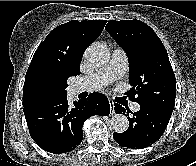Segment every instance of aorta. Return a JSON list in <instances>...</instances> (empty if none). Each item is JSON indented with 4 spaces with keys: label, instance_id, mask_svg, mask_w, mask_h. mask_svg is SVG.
<instances>
[{
    "label": "aorta",
    "instance_id": "aorta-1",
    "mask_svg": "<svg viewBox=\"0 0 196 166\" xmlns=\"http://www.w3.org/2000/svg\"><path fill=\"white\" fill-rule=\"evenodd\" d=\"M85 60L92 66H103L108 63L110 59V52L103 44L90 45L85 53ZM111 127L116 133H123L129 127V121L123 114H115L111 118Z\"/></svg>",
    "mask_w": 196,
    "mask_h": 166
}]
</instances>
